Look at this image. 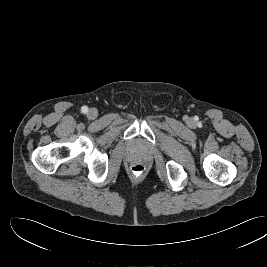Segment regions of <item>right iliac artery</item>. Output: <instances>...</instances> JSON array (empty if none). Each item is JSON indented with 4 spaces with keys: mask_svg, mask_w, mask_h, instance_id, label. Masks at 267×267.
I'll return each mask as SVG.
<instances>
[{
    "mask_svg": "<svg viewBox=\"0 0 267 267\" xmlns=\"http://www.w3.org/2000/svg\"><path fill=\"white\" fill-rule=\"evenodd\" d=\"M81 112H82L83 114L87 113V112H88V107H87V106H82V107H81Z\"/></svg>",
    "mask_w": 267,
    "mask_h": 267,
    "instance_id": "right-iliac-artery-1",
    "label": "right iliac artery"
}]
</instances>
